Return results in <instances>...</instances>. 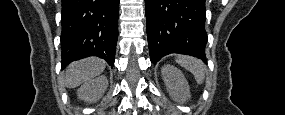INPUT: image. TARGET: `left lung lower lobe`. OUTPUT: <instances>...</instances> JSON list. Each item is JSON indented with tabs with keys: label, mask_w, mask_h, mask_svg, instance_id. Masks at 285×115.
I'll return each mask as SVG.
<instances>
[{
	"label": "left lung lower lobe",
	"mask_w": 285,
	"mask_h": 115,
	"mask_svg": "<svg viewBox=\"0 0 285 115\" xmlns=\"http://www.w3.org/2000/svg\"><path fill=\"white\" fill-rule=\"evenodd\" d=\"M151 63L170 53L206 62L205 0H145Z\"/></svg>",
	"instance_id": "obj_1"
}]
</instances>
